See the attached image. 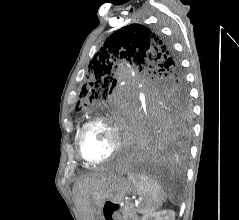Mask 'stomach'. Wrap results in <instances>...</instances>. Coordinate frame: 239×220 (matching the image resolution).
Returning a JSON list of instances; mask_svg holds the SVG:
<instances>
[{"instance_id":"obj_1","label":"stomach","mask_w":239,"mask_h":220,"mask_svg":"<svg viewBox=\"0 0 239 220\" xmlns=\"http://www.w3.org/2000/svg\"><path fill=\"white\" fill-rule=\"evenodd\" d=\"M135 191L130 181L115 176L105 186L91 191L90 205L99 214L98 220H123V212H118L122 210V205L118 204Z\"/></svg>"}]
</instances>
